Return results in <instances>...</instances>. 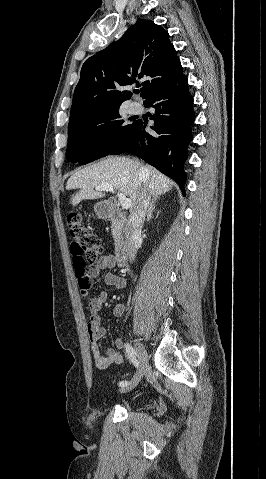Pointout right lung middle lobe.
I'll return each mask as SVG.
<instances>
[{
    "mask_svg": "<svg viewBox=\"0 0 266 479\" xmlns=\"http://www.w3.org/2000/svg\"><path fill=\"white\" fill-rule=\"evenodd\" d=\"M118 110L69 121L67 160L87 164L109 155L134 125L125 124Z\"/></svg>",
    "mask_w": 266,
    "mask_h": 479,
    "instance_id": "right-lung-middle-lobe-1",
    "label": "right lung middle lobe"
}]
</instances>
